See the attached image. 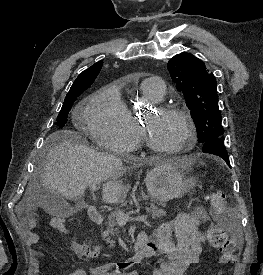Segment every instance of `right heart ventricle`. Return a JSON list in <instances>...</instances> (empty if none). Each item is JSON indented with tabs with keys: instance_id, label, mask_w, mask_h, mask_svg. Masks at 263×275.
<instances>
[{
	"instance_id": "right-heart-ventricle-1",
	"label": "right heart ventricle",
	"mask_w": 263,
	"mask_h": 275,
	"mask_svg": "<svg viewBox=\"0 0 263 275\" xmlns=\"http://www.w3.org/2000/svg\"><path fill=\"white\" fill-rule=\"evenodd\" d=\"M143 93H144L145 97L148 100L155 101L152 98L151 94L147 90L143 89ZM125 109H126V114H127L128 118H129L131 124L133 125V127L136 130V133H137V141H136V143H137L140 140V130H139V125H138L137 118L135 117L134 113L131 112L126 106H125Z\"/></svg>"
}]
</instances>
